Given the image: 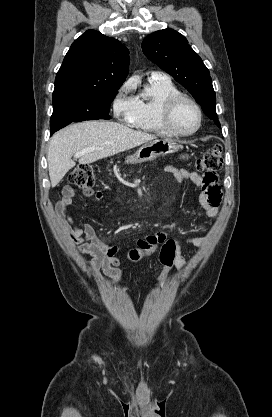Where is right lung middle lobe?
Here are the masks:
<instances>
[{"mask_svg": "<svg viewBox=\"0 0 272 417\" xmlns=\"http://www.w3.org/2000/svg\"><path fill=\"white\" fill-rule=\"evenodd\" d=\"M118 88L104 92L53 95L51 134L71 122L109 119V108Z\"/></svg>", "mask_w": 272, "mask_h": 417, "instance_id": "right-lung-middle-lobe-1", "label": "right lung middle lobe"}]
</instances>
